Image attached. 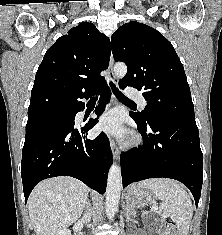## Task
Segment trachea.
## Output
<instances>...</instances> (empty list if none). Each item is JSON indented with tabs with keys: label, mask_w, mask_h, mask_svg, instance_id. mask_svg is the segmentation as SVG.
<instances>
[{
	"label": "trachea",
	"mask_w": 222,
	"mask_h": 235,
	"mask_svg": "<svg viewBox=\"0 0 222 235\" xmlns=\"http://www.w3.org/2000/svg\"><path fill=\"white\" fill-rule=\"evenodd\" d=\"M110 86H111V88H112V91H113L114 95H115L118 99H120V100H122V101H124V102H127V103H132V104H134L133 101H131V100H130L129 98H127L126 96H124V95L116 88V86L113 84V82H110Z\"/></svg>",
	"instance_id": "obj_1"
}]
</instances>
